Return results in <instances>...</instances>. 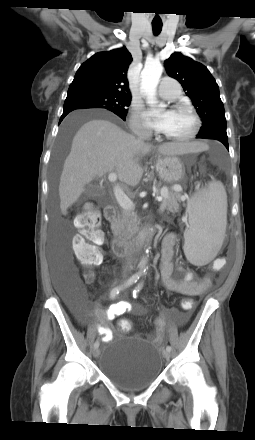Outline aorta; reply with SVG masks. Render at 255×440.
<instances>
[{
	"label": "aorta",
	"instance_id": "aorta-1",
	"mask_svg": "<svg viewBox=\"0 0 255 440\" xmlns=\"http://www.w3.org/2000/svg\"><path fill=\"white\" fill-rule=\"evenodd\" d=\"M163 72V66L158 61H152L145 64L141 72V91L146 96V100L149 104L154 105L157 103L156 100V89L160 81V77ZM149 250H146L148 253ZM147 257H144L139 268L141 272H145L147 265Z\"/></svg>",
	"mask_w": 255,
	"mask_h": 440
}]
</instances>
